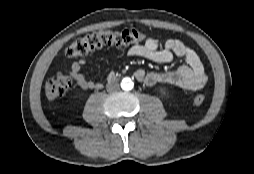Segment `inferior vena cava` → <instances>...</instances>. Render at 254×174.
I'll return each instance as SVG.
<instances>
[{
    "label": "inferior vena cava",
    "instance_id": "obj_1",
    "mask_svg": "<svg viewBox=\"0 0 254 174\" xmlns=\"http://www.w3.org/2000/svg\"><path fill=\"white\" fill-rule=\"evenodd\" d=\"M106 89L108 92H115L119 89V83L116 81L109 82L106 85Z\"/></svg>",
    "mask_w": 254,
    "mask_h": 174
}]
</instances>
